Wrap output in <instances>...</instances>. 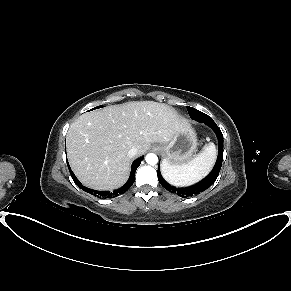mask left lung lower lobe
<instances>
[{
  "mask_svg": "<svg viewBox=\"0 0 291 291\" xmlns=\"http://www.w3.org/2000/svg\"><path fill=\"white\" fill-rule=\"evenodd\" d=\"M191 115H192L191 116L192 119H194L198 122H201V123H205L206 125L211 127L213 129V131L216 133V136L218 138V157H217V161H216V164H215L213 170L206 178H204L202 181L198 182L197 184L190 186V187H186V188L177 189L176 187L169 185L162 178L161 173H160V169L158 166L157 175H158V180H159L160 184L167 191H169L171 193H175V194L179 195L180 197H184V198L195 196V195L205 191L206 189H208L215 182L216 178L218 177V174H219L221 166H222V161H223V135H222L221 130L218 128V126L213 121V119L210 116L206 115L205 113L197 110V112H194Z\"/></svg>",
  "mask_w": 291,
  "mask_h": 291,
  "instance_id": "1",
  "label": "left lung lower lobe"
}]
</instances>
